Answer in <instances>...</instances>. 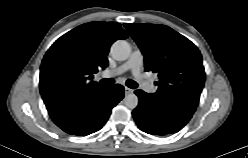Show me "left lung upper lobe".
<instances>
[{"label": "left lung upper lobe", "mask_w": 248, "mask_h": 158, "mask_svg": "<svg viewBox=\"0 0 248 158\" xmlns=\"http://www.w3.org/2000/svg\"><path fill=\"white\" fill-rule=\"evenodd\" d=\"M124 26L144 55L145 70L158 74L154 98L165 105L194 112L205 83L198 48L165 25L125 23Z\"/></svg>", "instance_id": "1"}]
</instances>
